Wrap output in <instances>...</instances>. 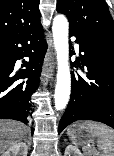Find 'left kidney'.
I'll list each match as a JSON object with an SVG mask.
<instances>
[{
  "mask_svg": "<svg viewBox=\"0 0 114 156\" xmlns=\"http://www.w3.org/2000/svg\"><path fill=\"white\" fill-rule=\"evenodd\" d=\"M64 156H83V154L76 146L68 145L65 149Z\"/></svg>",
  "mask_w": 114,
  "mask_h": 156,
  "instance_id": "obj_1",
  "label": "left kidney"
}]
</instances>
